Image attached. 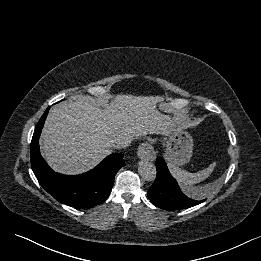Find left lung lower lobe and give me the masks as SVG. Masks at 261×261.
<instances>
[{
  "instance_id": "0a47b994",
  "label": "left lung lower lobe",
  "mask_w": 261,
  "mask_h": 261,
  "mask_svg": "<svg viewBox=\"0 0 261 261\" xmlns=\"http://www.w3.org/2000/svg\"><path fill=\"white\" fill-rule=\"evenodd\" d=\"M156 168L157 177L147 192L150 201L155 206L165 210H179L203 202L181 191L176 180L169 173L163 158H157Z\"/></svg>"
}]
</instances>
